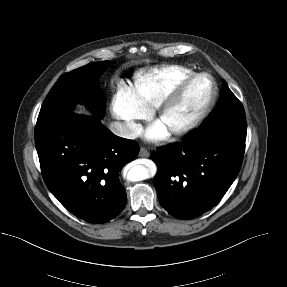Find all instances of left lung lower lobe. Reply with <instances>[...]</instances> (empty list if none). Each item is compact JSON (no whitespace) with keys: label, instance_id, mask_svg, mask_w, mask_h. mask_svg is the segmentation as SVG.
I'll return each mask as SVG.
<instances>
[{"label":"left lung lower lobe","instance_id":"left-lung-lower-lobe-1","mask_svg":"<svg viewBox=\"0 0 287 287\" xmlns=\"http://www.w3.org/2000/svg\"><path fill=\"white\" fill-rule=\"evenodd\" d=\"M245 141L192 132L151 154L161 206L178 219H193L219 203L237 177Z\"/></svg>","mask_w":287,"mask_h":287}]
</instances>
